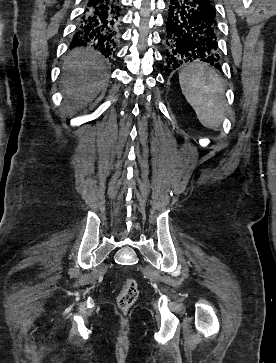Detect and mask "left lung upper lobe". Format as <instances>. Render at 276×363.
Masks as SVG:
<instances>
[{
    "label": "left lung upper lobe",
    "instance_id": "5c2ea615",
    "mask_svg": "<svg viewBox=\"0 0 276 363\" xmlns=\"http://www.w3.org/2000/svg\"><path fill=\"white\" fill-rule=\"evenodd\" d=\"M213 6H214V2L213 0H208Z\"/></svg>",
    "mask_w": 276,
    "mask_h": 363
}]
</instances>
